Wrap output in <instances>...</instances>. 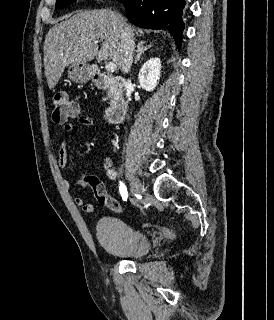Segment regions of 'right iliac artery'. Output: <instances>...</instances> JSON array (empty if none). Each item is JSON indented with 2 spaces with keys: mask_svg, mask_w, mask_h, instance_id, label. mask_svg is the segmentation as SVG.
Here are the masks:
<instances>
[{
  "mask_svg": "<svg viewBox=\"0 0 274 320\" xmlns=\"http://www.w3.org/2000/svg\"><path fill=\"white\" fill-rule=\"evenodd\" d=\"M120 194H121V197L124 201L127 200L128 198V191H127V188L125 187V185L120 182ZM136 198L137 199H141V195H138V194H135Z\"/></svg>",
  "mask_w": 274,
  "mask_h": 320,
  "instance_id": "1",
  "label": "right iliac artery"
}]
</instances>
